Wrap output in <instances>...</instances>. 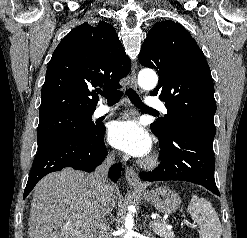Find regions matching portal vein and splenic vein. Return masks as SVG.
Returning a JSON list of instances; mask_svg holds the SVG:
<instances>
[{
  "label": "portal vein and splenic vein",
  "mask_w": 247,
  "mask_h": 238,
  "mask_svg": "<svg viewBox=\"0 0 247 238\" xmlns=\"http://www.w3.org/2000/svg\"><path fill=\"white\" fill-rule=\"evenodd\" d=\"M151 223H153V221H150V223H149V224H151Z\"/></svg>",
  "instance_id": "1"
}]
</instances>
